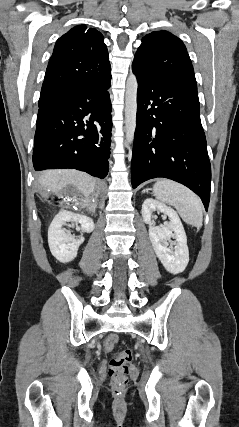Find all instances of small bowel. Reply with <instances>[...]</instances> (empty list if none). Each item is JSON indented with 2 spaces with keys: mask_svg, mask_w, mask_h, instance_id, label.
Here are the masks:
<instances>
[{
  "mask_svg": "<svg viewBox=\"0 0 239 427\" xmlns=\"http://www.w3.org/2000/svg\"><path fill=\"white\" fill-rule=\"evenodd\" d=\"M116 341L117 337L115 335H110L104 343L105 349L111 350Z\"/></svg>",
  "mask_w": 239,
  "mask_h": 427,
  "instance_id": "small-bowel-1",
  "label": "small bowel"
}]
</instances>
